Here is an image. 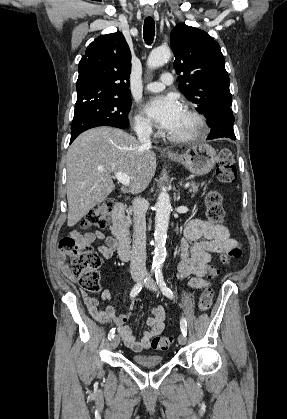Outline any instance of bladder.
I'll use <instances>...</instances> for the list:
<instances>
[{"label":"bladder","instance_id":"1","mask_svg":"<svg viewBox=\"0 0 287 419\" xmlns=\"http://www.w3.org/2000/svg\"><path fill=\"white\" fill-rule=\"evenodd\" d=\"M132 360L143 367H156L163 362V358L160 356L145 355V354H135L132 357Z\"/></svg>","mask_w":287,"mask_h":419}]
</instances>
